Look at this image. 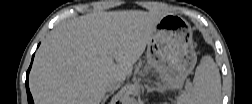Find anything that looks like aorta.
Listing matches in <instances>:
<instances>
[{"mask_svg": "<svg viewBox=\"0 0 252 104\" xmlns=\"http://www.w3.org/2000/svg\"><path fill=\"white\" fill-rule=\"evenodd\" d=\"M122 102L124 104H133L135 103V99L131 96H129L128 94H125L122 98Z\"/></svg>", "mask_w": 252, "mask_h": 104, "instance_id": "aorta-1", "label": "aorta"}]
</instances>
